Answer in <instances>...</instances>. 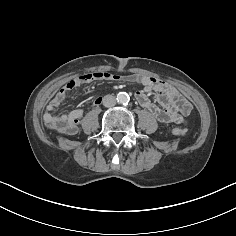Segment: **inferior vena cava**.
Listing matches in <instances>:
<instances>
[{
    "label": "inferior vena cava",
    "mask_w": 236,
    "mask_h": 236,
    "mask_svg": "<svg viewBox=\"0 0 236 236\" xmlns=\"http://www.w3.org/2000/svg\"><path fill=\"white\" fill-rule=\"evenodd\" d=\"M116 104V99L113 95H106L103 98V105L105 107H113Z\"/></svg>",
    "instance_id": "602c4592"
}]
</instances>
